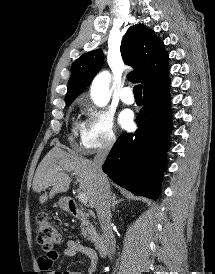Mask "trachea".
Wrapping results in <instances>:
<instances>
[{"label": "trachea", "mask_w": 215, "mask_h": 274, "mask_svg": "<svg viewBox=\"0 0 215 274\" xmlns=\"http://www.w3.org/2000/svg\"><path fill=\"white\" fill-rule=\"evenodd\" d=\"M135 97L142 98V85H136L133 89Z\"/></svg>", "instance_id": "obj_1"}]
</instances>
